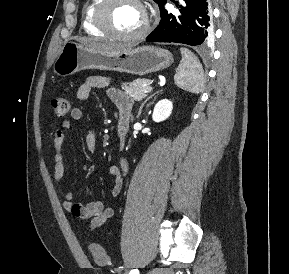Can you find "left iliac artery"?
<instances>
[{"label": "left iliac artery", "mask_w": 289, "mask_h": 274, "mask_svg": "<svg viewBox=\"0 0 289 274\" xmlns=\"http://www.w3.org/2000/svg\"><path fill=\"white\" fill-rule=\"evenodd\" d=\"M123 267H118L116 270L121 271Z\"/></svg>", "instance_id": "44dca946"}]
</instances>
